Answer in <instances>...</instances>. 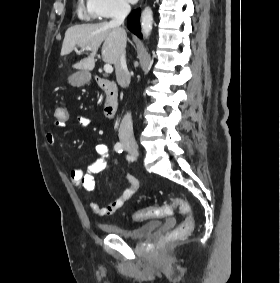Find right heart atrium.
Wrapping results in <instances>:
<instances>
[{"mask_svg": "<svg viewBox=\"0 0 280 283\" xmlns=\"http://www.w3.org/2000/svg\"><path fill=\"white\" fill-rule=\"evenodd\" d=\"M129 10L127 0H86L87 14L99 20L124 16Z\"/></svg>", "mask_w": 280, "mask_h": 283, "instance_id": "d8ad5b80", "label": "right heart atrium"}]
</instances>
